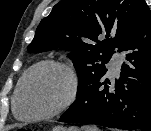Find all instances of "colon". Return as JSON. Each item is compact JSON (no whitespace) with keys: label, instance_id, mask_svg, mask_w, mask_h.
Listing matches in <instances>:
<instances>
[{"label":"colon","instance_id":"5ec220e1","mask_svg":"<svg viewBox=\"0 0 151 131\" xmlns=\"http://www.w3.org/2000/svg\"><path fill=\"white\" fill-rule=\"evenodd\" d=\"M15 131H36V130L27 127H18Z\"/></svg>","mask_w":151,"mask_h":131}]
</instances>
